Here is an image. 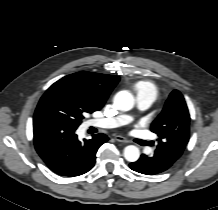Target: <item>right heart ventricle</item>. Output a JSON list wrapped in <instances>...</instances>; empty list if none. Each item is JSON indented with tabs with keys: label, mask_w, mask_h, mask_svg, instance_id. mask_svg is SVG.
<instances>
[{
	"label": "right heart ventricle",
	"mask_w": 218,
	"mask_h": 210,
	"mask_svg": "<svg viewBox=\"0 0 218 210\" xmlns=\"http://www.w3.org/2000/svg\"><path fill=\"white\" fill-rule=\"evenodd\" d=\"M135 89L138 93H141L143 91H149L154 95V97H156L157 95V90L155 86L150 82H139L136 84Z\"/></svg>",
	"instance_id": "1"
}]
</instances>
